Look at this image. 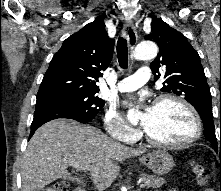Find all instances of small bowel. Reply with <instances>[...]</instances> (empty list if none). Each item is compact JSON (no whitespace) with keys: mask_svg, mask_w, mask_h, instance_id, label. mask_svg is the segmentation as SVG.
<instances>
[{"mask_svg":"<svg viewBox=\"0 0 221 191\" xmlns=\"http://www.w3.org/2000/svg\"><path fill=\"white\" fill-rule=\"evenodd\" d=\"M168 191H176L175 189H170V190H168Z\"/></svg>","mask_w":221,"mask_h":191,"instance_id":"obj_1","label":"small bowel"}]
</instances>
